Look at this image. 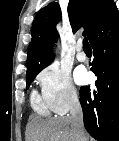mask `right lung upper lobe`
I'll return each mask as SVG.
<instances>
[{"label":"right lung upper lobe","mask_w":119,"mask_h":141,"mask_svg":"<svg viewBox=\"0 0 119 141\" xmlns=\"http://www.w3.org/2000/svg\"><path fill=\"white\" fill-rule=\"evenodd\" d=\"M117 14L116 5L111 0H70L68 4L73 32L84 27L83 35L88 36L90 41L97 30ZM60 19L61 10L56 2L50 3L37 13L31 28L27 74L40 72L51 64L54 58L51 46L58 37L56 23Z\"/></svg>","instance_id":"cb5924a9"}]
</instances>
